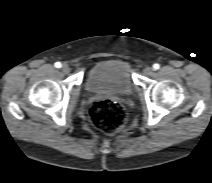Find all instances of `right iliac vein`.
Returning a JSON list of instances; mask_svg holds the SVG:
<instances>
[{"label": "right iliac vein", "instance_id": "1", "mask_svg": "<svg viewBox=\"0 0 212 183\" xmlns=\"http://www.w3.org/2000/svg\"><path fill=\"white\" fill-rule=\"evenodd\" d=\"M61 69H62V71L64 72V73H69L70 72V67L68 66V65H66V64H64L62 67H61Z\"/></svg>", "mask_w": 212, "mask_h": 183}]
</instances>
